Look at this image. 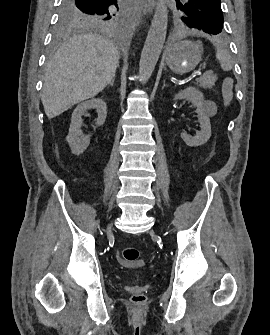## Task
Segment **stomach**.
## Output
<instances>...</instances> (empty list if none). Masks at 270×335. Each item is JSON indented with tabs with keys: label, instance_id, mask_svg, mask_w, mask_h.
I'll use <instances>...</instances> for the list:
<instances>
[{
	"label": "stomach",
	"instance_id": "obj_1",
	"mask_svg": "<svg viewBox=\"0 0 270 335\" xmlns=\"http://www.w3.org/2000/svg\"><path fill=\"white\" fill-rule=\"evenodd\" d=\"M203 52L202 42L181 40L172 44L165 52L166 64L175 74H186L196 68L201 62Z\"/></svg>",
	"mask_w": 270,
	"mask_h": 335
}]
</instances>
